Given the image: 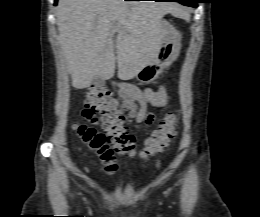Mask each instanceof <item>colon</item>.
<instances>
[{
  "label": "colon",
  "mask_w": 260,
  "mask_h": 217,
  "mask_svg": "<svg viewBox=\"0 0 260 217\" xmlns=\"http://www.w3.org/2000/svg\"><path fill=\"white\" fill-rule=\"evenodd\" d=\"M83 104L82 114L90 123H78L75 125V130L81 140L101 160L108 173L116 170V155L144 161L156 158L176 136L179 127L177 114L168 113L147 139L144 148L136 151L134 138L128 132L117 100L109 90L94 88L86 90ZM95 114L101 116L104 133L93 126Z\"/></svg>",
  "instance_id": "colon-1"
}]
</instances>
